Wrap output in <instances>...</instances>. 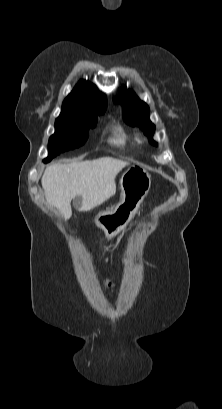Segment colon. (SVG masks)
<instances>
[{
    "label": "colon",
    "mask_w": 222,
    "mask_h": 409,
    "mask_svg": "<svg viewBox=\"0 0 222 409\" xmlns=\"http://www.w3.org/2000/svg\"><path fill=\"white\" fill-rule=\"evenodd\" d=\"M102 284H103V286H104L105 288H110V287H111V284H110V282H109L108 280H103V281H102Z\"/></svg>",
    "instance_id": "colon-1"
}]
</instances>
